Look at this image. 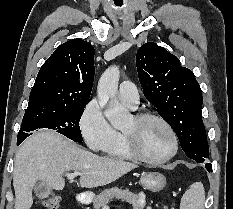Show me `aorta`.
<instances>
[{"mask_svg": "<svg viewBox=\"0 0 233 209\" xmlns=\"http://www.w3.org/2000/svg\"><path fill=\"white\" fill-rule=\"evenodd\" d=\"M119 78V68L111 66L101 75L97 87L100 106L104 108L105 116L116 129H122L131 120V114L117 99Z\"/></svg>", "mask_w": 233, "mask_h": 209, "instance_id": "obj_1", "label": "aorta"}]
</instances>
